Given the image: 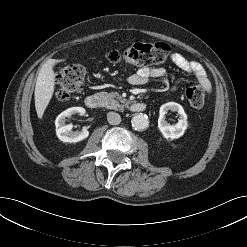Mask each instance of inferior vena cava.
Wrapping results in <instances>:
<instances>
[{
	"mask_svg": "<svg viewBox=\"0 0 247 247\" xmlns=\"http://www.w3.org/2000/svg\"><path fill=\"white\" fill-rule=\"evenodd\" d=\"M107 120L111 125H118L121 122V117L116 112H109L107 114Z\"/></svg>",
	"mask_w": 247,
	"mask_h": 247,
	"instance_id": "obj_1",
	"label": "inferior vena cava"
}]
</instances>
